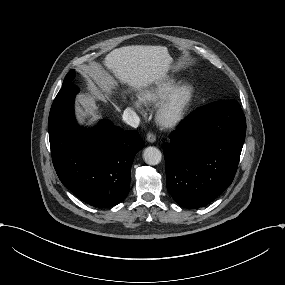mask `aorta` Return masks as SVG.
<instances>
[{"label": "aorta", "instance_id": "1", "mask_svg": "<svg viewBox=\"0 0 285 285\" xmlns=\"http://www.w3.org/2000/svg\"><path fill=\"white\" fill-rule=\"evenodd\" d=\"M144 161L149 165H157L162 159L161 151L156 147H147L143 153Z\"/></svg>", "mask_w": 285, "mask_h": 285}]
</instances>
